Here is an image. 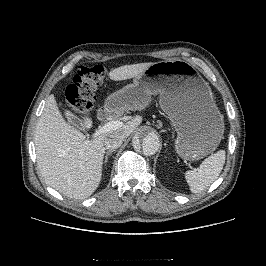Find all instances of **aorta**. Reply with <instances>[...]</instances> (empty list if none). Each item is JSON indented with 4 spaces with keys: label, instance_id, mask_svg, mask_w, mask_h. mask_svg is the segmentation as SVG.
I'll use <instances>...</instances> for the list:
<instances>
[{
    "label": "aorta",
    "instance_id": "1",
    "mask_svg": "<svg viewBox=\"0 0 266 266\" xmlns=\"http://www.w3.org/2000/svg\"><path fill=\"white\" fill-rule=\"evenodd\" d=\"M139 145H141V149L145 155H153L160 147L159 136L152 130H142L133 142L134 148H137Z\"/></svg>",
    "mask_w": 266,
    "mask_h": 266
}]
</instances>
